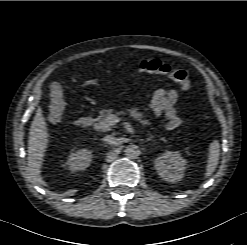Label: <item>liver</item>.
I'll return each instance as SVG.
<instances>
[{
    "instance_id": "liver-1",
    "label": "liver",
    "mask_w": 247,
    "mask_h": 245,
    "mask_svg": "<svg viewBox=\"0 0 247 245\" xmlns=\"http://www.w3.org/2000/svg\"><path fill=\"white\" fill-rule=\"evenodd\" d=\"M48 142L47 125L41 109H38L29 129L27 160L30 177L40 186H47L41 177V168Z\"/></svg>"
}]
</instances>
